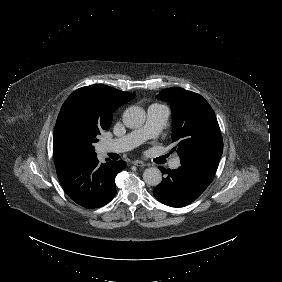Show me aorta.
Instances as JSON below:
<instances>
[{
	"label": "aorta",
	"mask_w": 282,
	"mask_h": 282,
	"mask_svg": "<svg viewBox=\"0 0 282 282\" xmlns=\"http://www.w3.org/2000/svg\"><path fill=\"white\" fill-rule=\"evenodd\" d=\"M146 112L142 107L130 106L123 113V123L128 128H139L145 123ZM143 180L147 185L157 186L162 181L161 171L157 167L144 170Z\"/></svg>",
	"instance_id": "762f6f07"
}]
</instances>
